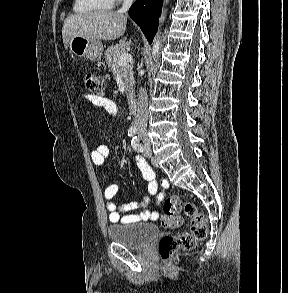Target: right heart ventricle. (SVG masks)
<instances>
[{
  "label": "right heart ventricle",
  "mask_w": 288,
  "mask_h": 293,
  "mask_svg": "<svg viewBox=\"0 0 288 293\" xmlns=\"http://www.w3.org/2000/svg\"><path fill=\"white\" fill-rule=\"evenodd\" d=\"M114 0H74L73 9L77 13L109 10Z\"/></svg>",
  "instance_id": "1"
}]
</instances>
